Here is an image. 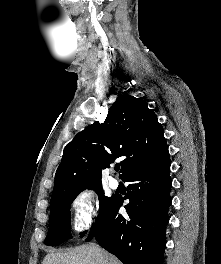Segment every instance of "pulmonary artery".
Here are the masks:
<instances>
[{
	"instance_id": "e3ab8cb5",
	"label": "pulmonary artery",
	"mask_w": 221,
	"mask_h": 264,
	"mask_svg": "<svg viewBox=\"0 0 221 264\" xmlns=\"http://www.w3.org/2000/svg\"><path fill=\"white\" fill-rule=\"evenodd\" d=\"M109 186H110L112 189H116V188H118V186H119V181H118L116 178L111 177V178L109 179Z\"/></svg>"
}]
</instances>
